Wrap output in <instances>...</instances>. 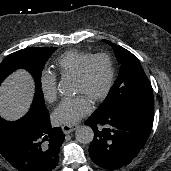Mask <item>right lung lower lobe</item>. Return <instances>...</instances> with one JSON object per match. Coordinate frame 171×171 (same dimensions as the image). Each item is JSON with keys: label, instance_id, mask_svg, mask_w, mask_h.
<instances>
[{"label": "right lung lower lobe", "instance_id": "1", "mask_svg": "<svg viewBox=\"0 0 171 171\" xmlns=\"http://www.w3.org/2000/svg\"><path fill=\"white\" fill-rule=\"evenodd\" d=\"M5 142L0 153L18 171H52L58 164L65 135L51 128L49 113L31 108L20 120L9 122L2 131Z\"/></svg>", "mask_w": 171, "mask_h": 171}]
</instances>
